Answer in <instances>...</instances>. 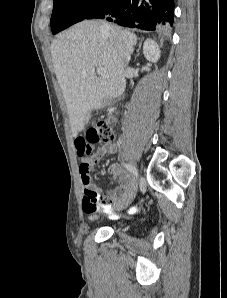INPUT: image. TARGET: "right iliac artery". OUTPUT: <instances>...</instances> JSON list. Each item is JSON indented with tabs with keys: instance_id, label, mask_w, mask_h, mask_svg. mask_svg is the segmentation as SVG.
<instances>
[{
	"instance_id": "right-iliac-artery-1",
	"label": "right iliac artery",
	"mask_w": 227,
	"mask_h": 298,
	"mask_svg": "<svg viewBox=\"0 0 227 298\" xmlns=\"http://www.w3.org/2000/svg\"><path fill=\"white\" fill-rule=\"evenodd\" d=\"M124 167H125L129 172H131L134 176H136V177L138 176V171H137V169H136L134 166L125 163V164H124Z\"/></svg>"
}]
</instances>
